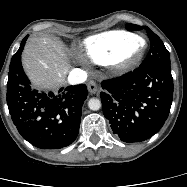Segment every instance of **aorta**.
I'll use <instances>...</instances> for the list:
<instances>
[{
  "mask_svg": "<svg viewBox=\"0 0 187 187\" xmlns=\"http://www.w3.org/2000/svg\"><path fill=\"white\" fill-rule=\"evenodd\" d=\"M88 107L90 110L97 111L101 108V101L97 98H91L88 101Z\"/></svg>",
  "mask_w": 187,
  "mask_h": 187,
  "instance_id": "obj_1",
  "label": "aorta"
}]
</instances>
